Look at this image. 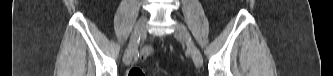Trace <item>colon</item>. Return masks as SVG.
I'll return each mask as SVG.
<instances>
[{"label": "colon", "instance_id": "1", "mask_svg": "<svg viewBox=\"0 0 333 76\" xmlns=\"http://www.w3.org/2000/svg\"><path fill=\"white\" fill-rule=\"evenodd\" d=\"M128 76H145L144 72L137 68H132L127 73Z\"/></svg>", "mask_w": 333, "mask_h": 76}]
</instances>
